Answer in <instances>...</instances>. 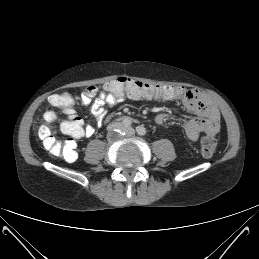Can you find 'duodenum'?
I'll use <instances>...</instances> for the list:
<instances>
[{"instance_id":"410a0bca","label":"duodenum","mask_w":259,"mask_h":259,"mask_svg":"<svg viewBox=\"0 0 259 259\" xmlns=\"http://www.w3.org/2000/svg\"><path fill=\"white\" fill-rule=\"evenodd\" d=\"M126 118H128V117H123V119H126Z\"/></svg>"}]
</instances>
